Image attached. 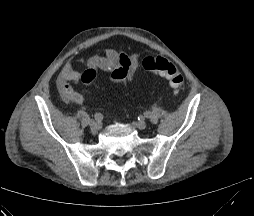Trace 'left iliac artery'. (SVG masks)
Returning <instances> with one entry per match:
<instances>
[{
  "mask_svg": "<svg viewBox=\"0 0 254 216\" xmlns=\"http://www.w3.org/2000/svg\"><path fill=\"white\" fill-rule=\"evenodd\" d=\"M144 117L147 118V119H151L152 118V112L151 111H146L144 113Z\"/></svg>",
  "mask_w": 254,
  "mask_h": 216,
  "instance_id": "44dca946",
  "label": "left iliac artery"
}]
</instances>
